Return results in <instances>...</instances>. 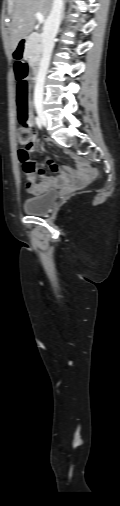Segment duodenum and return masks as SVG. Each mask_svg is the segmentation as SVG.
<instances>
[{
    "label": "duodenum",
    "instance_id": "1",
    "mask_svg": "<svg viewBox=\"0 0 120 506\" xmlns=\"http://www.w3.org/2000/svg\"><path fill=\"white\" fill-rule=\"evenodd\" d=\"M28 40H29V36H24L20 39V42H19V45H17L15 47V56L17 58H24L25 57V46L26 44L28 43ZM32 69H33V78L35 80L38 79L39 77V74H40V62L37 61V62H34L33 65H32Z\"/></svg>",
    "mask_w": 120,
    "mask_h": 506
}]
</instances>
